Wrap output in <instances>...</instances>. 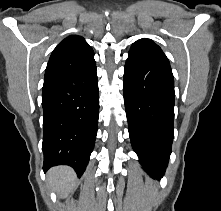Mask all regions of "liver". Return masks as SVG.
Wrapping results in <instances>:
<instances>
[{
	"label": "liver",
	"mask_w": 221,
	"mask_h": 211,
	"mask_svg": "<svg viewBox=\"0 0 221 211\" xmlns=\"http://www.w3.org/2000/svg\"><path fill=\"white\" fill-rule=\"evenodd\" d=\"M49 186L61 197H66L76 187V175L68 166L51 168L47 173Z\"/></svg>",
	"instance_id": "obj_1"
}]
</instances>
